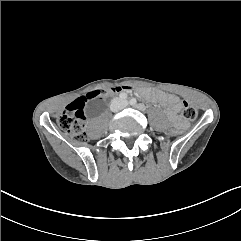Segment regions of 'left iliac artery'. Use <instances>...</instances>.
<instances>
[{"instance_id": "left-iliac-artery-1", "label": "left iliac artery", "mask_w": 241, "mask_h": 241, "mask_svg": "<svg viewBox=\"0 0 241 241\" xmlns=\"http://www.w3.org/2000/svg\"><path fill=\"white\" fill-rule=\"evenodd\" d=\"M129 103H130L131 105L135 106L136 103H137V100H136L135 98H132V99L129 101Z\"/></svg>"}]
</instances>
